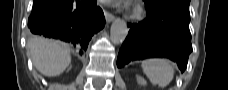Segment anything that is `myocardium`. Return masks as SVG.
Instances as JSON below:
<instances>
[{
	"instance_id": "obj_1",
	"label": "myocardium",
	"mask_w": 228,
	"mask_h": 90,
	"mask_svg": "<svg viewBox=\"0 0 228 90\" xmlns=\"http://www.w3.org/2000/svg\"><path fill=\"white\" fill-rule=\"evenodd\" d=\"M142 16V9L141 8H135L133 12V17L138 19Z\"/></svg>"
}]
</instances>
